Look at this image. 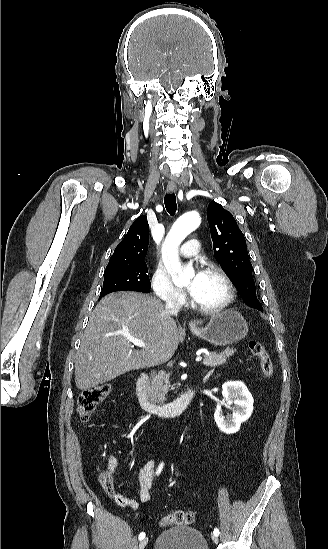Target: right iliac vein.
I'll return each instance as SVG.
<instances>
[{"label": "right iliac vein", "instance_id": "right-iliac-vein-1", "mask_svg": "<svg viewBox=\"0 0 328 549\" xmlns=\"http://www.w3.org/2000/svg\"><path fill=\"white\" fill-rule=\"evenodd\" d=\"M148 543V537L143 538L139 543V549H145Z\"/></svg>", "mask_w": 328, "mask_h": 549}]
</instances>
